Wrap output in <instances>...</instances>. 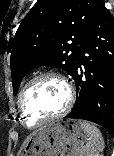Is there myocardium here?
<instances>
[{
	"label": "myocardium",
	"mask_w": 114,
	"mask_h": 156,
	"mask_svg": "<svg viewBox=\"0 0 114 156\" xmlns=\"http://www.w3.org/2000/svg\"><path fill=\"white\" fill-rule=\"evenodd\" d=\"M44 78H53L56 79L57 81H59L65 88L66 91V102L65 105L63 106V108L56 114L49 116L47 118H44L40 121H38L37 123H35L34 125H29L27 124V122L25 121V117H24V111L21 105V101H22V97L25 94V92L28 90V88L33 85L35 82H37L38 80L44 79ZM74 99H75V93H74V89L72 87V85L70 84V82L61 74L54 72V71H47V72H42L37 74L36 76H34L33 78H31L21 89V91L19 92L18 98H17V107L18 110L20 112V116H21V121L22 123L27 127V128H36L44 123L59 119L61 117H63L66 113H68V111L72 108L73 103H74Z\"/></svg>",
	"instance_id": "obj_1"
}]
</instances>
